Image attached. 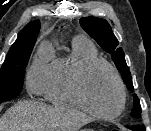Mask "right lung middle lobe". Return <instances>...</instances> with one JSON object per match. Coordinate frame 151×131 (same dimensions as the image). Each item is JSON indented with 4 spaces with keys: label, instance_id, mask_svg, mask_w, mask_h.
Returning <instances> with one entry per match:
<instances>
[{
    "label": "right lung middle lobe",
    "instance_id": "1",
    "mask_svg": "<svg viewBox=\"0 0 151 131\" xmlns=\"http://www.w3.org/2000/svg\"><path fill=\"white\" fill-rule=\"evenodd\" d=\"M34 44L10 49L0 70V102L8 101L20 94L25 68Z\"/></svg>",
    "mask_w": 151,
    "mask_h": 131
}]
</instances>
